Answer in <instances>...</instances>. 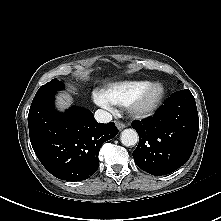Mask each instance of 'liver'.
Masks as SVG:
<instances>
[{
  "label": "liver",
  "instance_id": "liver-1",
  "mask_svg": "<svg viewBox=\"0 0 221 221\" xmlns=\"http://www.w3.org/2000/svg\"><path fill=\"white\" fill-rule=\"evenodd\" d=\"M58 103L62 108H66L67 106H69V101L65 99L64 97H59Z\"/></svg>",
  "mask_w": 221,
  "mask_h": 221
}]
</instances>
